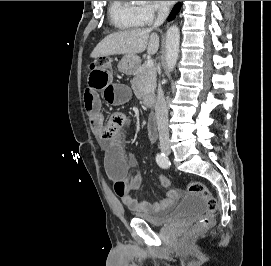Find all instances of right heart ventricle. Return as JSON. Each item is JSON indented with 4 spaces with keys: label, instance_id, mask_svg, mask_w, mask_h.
I'll list each match as a JSON object with an SVG mask.
<instances>
[{
    "label": "right heart ventricle",
    "instance_id": "1",
    "mask_svg": "<svg viewBox=\"0 0 271 266\" xmlns=\"http://www.w3.org/2000/svg\"><path fill=\"white\" fill-rule=\"evenodd\" d=\"M109 14L119 29H132L142 25L137 7L130 1H111Z\"/></svg>",
    "mask_w": 271,
    "mask_h": 266
}]
</instances>
